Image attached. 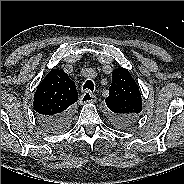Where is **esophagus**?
I'll use <instances>...</instances> for the list:
<instances>
[{"label":"esophagus","instance_id":"obj_1","mask_svg":"<svg viewBox=\"0 0 184 184\" xmlns=\"http://www.w3.org/2000/svg\"><path fill=\"white\" fill-rule=\"evenodd\" d=\"M97 100L96 96L90 91H85L79 98L80 104L94 103Z\"/></svg>","mask_w":184,"mask_h":184}]
</instances>
